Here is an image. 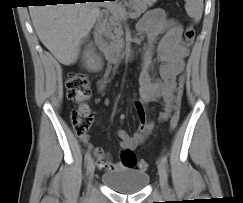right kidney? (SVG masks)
I'll list each match as a JSON object with an SVG mask.
<instances>
[{
    "label": "right kidney",
    "mask_w": 243,
    "mask_h": 203,
    "mask_svg": "<svg viewBox=\"0 0 243 203\" xmlns=\"http://www.w3.org/2000/svg\"><path fill=\"white\" fill-rule=\"evenodd\" d=\"M82 59L88 70L97 72L101 69L102 60L94 54V49L91 46H88L83 52Z\"/></svg>",
    "instance_id": "1"
}]
</instances>
